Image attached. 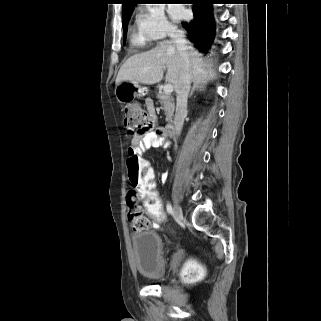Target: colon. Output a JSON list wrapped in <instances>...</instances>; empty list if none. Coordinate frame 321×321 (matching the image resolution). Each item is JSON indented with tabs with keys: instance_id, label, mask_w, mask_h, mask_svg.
Masks as SVG:
<instances>
[{
	"instance_id": "5ec220e1",
	"label": "colon",
	"mask_w": 321,
	"mask_h": 321,
	"mask_svg": "<svg viewBox=\"0 0 321 321\" xmlns=\"http://www.w3.org/2000/svg\"><path fill=\"white\" fill-rule=\"evenodd\" d=\"M124 125L131 135L147 133L153 126L154 115L138 103L124 106ZM127 170L132 189L127 193V218L134 230L146 229L149 221L144 217L151 216V222H164L166 207L163 205L159 191H155L156 181L148 162L139 155L130 152L127 158ZM143 198L142 207L139 204ZM199 274L197 268L189 267L184 273L186 280H193Z\"/></svg>"
}]
</instances>
